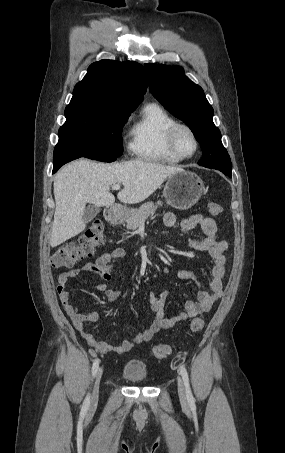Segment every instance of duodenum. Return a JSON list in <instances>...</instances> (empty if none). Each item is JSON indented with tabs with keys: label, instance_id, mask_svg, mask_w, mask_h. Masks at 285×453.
I'll use <instances>...</instances> for the list:
<instances>
[{
	"label": "duodenum",
	"instance_id": "1",
	"mask_svg": "<svg viewBox=\"0 0 285 453\" xmlns=\"http://www.w3.org/2000/svg\"><path fill=\"white\" fill-rule=\"evenodd\" d=\"M120 215V210L116 206H109L106 210V219L110 223H116Z\"/></svg>",
	"mask_w": 285,
	"mask_h": 453
}]
</instances>
